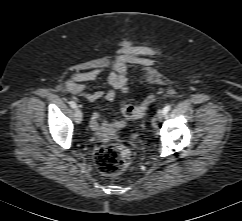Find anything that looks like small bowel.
Listing matches in <instances>:
<instances>
[{"label": "small bowel", "instance_id": "small-bowel-1", "mask_svg": "<svg viewBox=\"0 0 242 221\" xmlns=\"http://www.w3.org/2000/svg\"><path fill=\"white\" fill-rule=\"evenodd\" d=\"M136 62V58L131 54L118 56L111 67V72L107 77L108 88L103 90L88 91L86 84L97 79L101 73L100 69H93L83 72H72L65 82L67 90L75 96L82 97L87 101L94 102L101 98L113 101L116 93L121 91L126 93L127 87V65ZM113 125L104 120L99 114L95 113L89 121V128L97 133H108Z\"/></svg>", "mask_w": 242, "mask_h": 221}]
</instances>
